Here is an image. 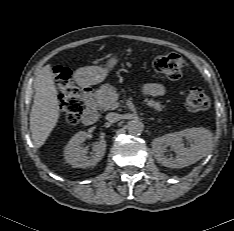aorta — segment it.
Masks as SVG:
<instances>
[{"instance_id": "obj_1", "label": "aorta", "mask_w": 234, "mask_h": 231, "mask_svg": "<svg viewBox=\"0 0 234 231\" xmlns=\"http://www.w3.org/2000/svg\"><path fill=\"white\" fill-rule=\"evenodd\" d=\"M127 130L131 135H139L143 131V123L139 120L129 121L127 124Z\"/></svg>"}]
</instances>
